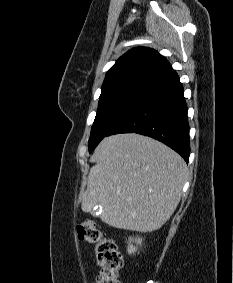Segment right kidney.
Segmentation results:
<instances>
[{"instance_id": "1", "label": "right kidney", "mask_w": 233, "mask_h": 283, "mask_svg": "<svg viewBox=\"0 0 233 283\" xmlns=\"http://www.w3.org/2000/svg\"><path fill=\"white\" fill-rule=\"evenodd\" d=\"M138 242L141 243L140 240ZM134 250H135V248H133V246H130V251L129 252L131 253V251H134Z\"/></svg>"}]
</instances>
